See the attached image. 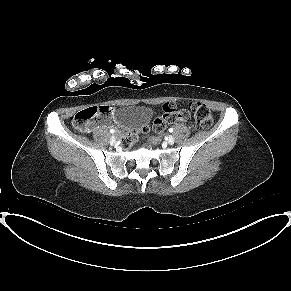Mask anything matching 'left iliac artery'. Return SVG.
<instances>
[{"label":"left iliac artery","instance_id":"left-iliac-artery-1","mask_svg":"<svg viewBox=\"0 0 291 291\" xmlns=\"http://www.w3.org/2000/svg\"><path fill=\"white\" fill-rule=\"evenodd\" d=\"M169 132H173V128H169Z\"/></svg>","mask_w":291,"mask_h":291}]
</instances>
